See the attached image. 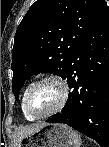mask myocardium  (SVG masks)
Listing matches in <instances>:
<instances>
[{"instance_id":"obj_1","label":"myocardium","mask_w":109,"mask_h":147,"mask_svg":"<svg viewBox=\"0 0 109 147\" xmlns=\"http://www.w3.org/2000/svg\"><path fill=\"white\" fill-rule=\"evenodd\" d=\"M47 82H52L60 88L61 97H60L59 102L52 109H50L49 111H47L45 113L38 114V113H35L34 111L31 110V108L29 106V99H30L31 94L33 93V91L37 87H39L40 85L47 83ZM68 97H69V87H68L66 80L59 75H48V76H45V77L41 78L40 80L36 81L34 84H32L30 86V88L28 89V91L26 92V95L24 97V109L28 115H30L34 118L49 117L51 115L58 113L59 111H61L64 108V106L66 105V103L68 101Z\"/></svg>"}]
</instances>
